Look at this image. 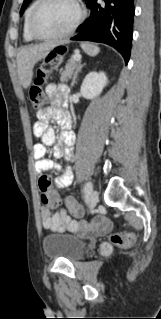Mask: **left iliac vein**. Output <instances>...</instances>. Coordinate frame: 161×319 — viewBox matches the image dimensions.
Wrapping results in <instances>:
<instances>
[{
    "label": "left iliac vein",
    "mask_w": 161,
    "mask_h": 319,
    "mask_svg": "<svg viewBox=\"0 0 161 319\" xmlns=\"http://www.w3.org/2000/svg\"><path fill=\"white\" fill-rule=\"evenodd\" d=\"M99 200V193L97 190H93L91 191L90 193V196H89V206L91 208L95 207L97 202Z\"/></svg>",
    "instance_id": "4c4485c4"
}]
</instances>
